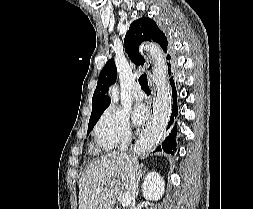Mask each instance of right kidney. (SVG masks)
<instances>
[{
  "mask_svg": "<svg viewBox=\"0 0 253 209\" xmlns=\"http://www.w3.org/2000/svg\"><path fill=\"white\" fill-rule=\"evenodd\" d=\"M165 183L156 172H149L142 185V194L145 199L159 200L164 194Z\"/></svg>",
  "mask_w": 253,
  "mask_h": 209,
  "instance_id": "right-kidney-1",
  "label": "right kidney"
}]
</instances>
